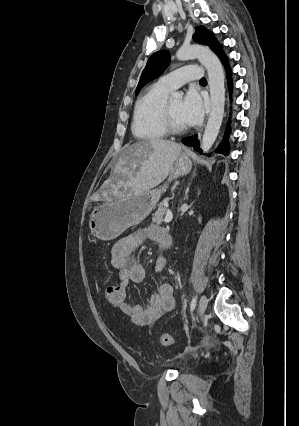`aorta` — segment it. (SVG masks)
Masks as SVG:
<instances>
[{"instance_id":"aorta-1","label":"aorta","mask_w":299,"mask_h":426,"mask_svg":"<svg viewBox=\"0 0 299 426\" xmlns=\"http://www.w3.org/2000/svg\"><path fill=\"white\" fill-rule=\"evenodd\" d=\"M176 57L181 61L196 58L208 73L211 112L201 141V149L204 153H207L218 136L224 116V70L219 58L210 49L201 45L183 46L177 51ZM181 98L182 94L179 92H173L170 96L172 100H180Z\"/></svg>"}]
</instances>
